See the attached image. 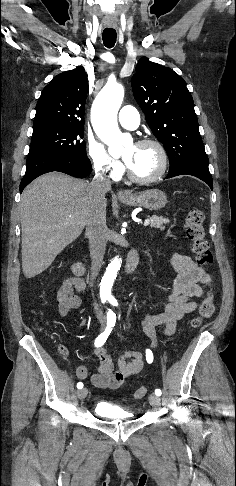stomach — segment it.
Wrapping results in <instances>:
<instances>
[{"instance_id":"0dacf381","label":"stomach","mask_w":236,"mask_h":486,"mask_svg":"<svg viewBox=\"0 0 236 486\" xmlns=\"http://www.w3.org/2000/svg\"><path fill=\"white\" fill-rule=\"evenodd\" d=\"M120 201L129 206H140L151 211H157L165 207L167 196L159 189H149L132 194L129 198H120Z\"/></svg>"}]
</instances>
